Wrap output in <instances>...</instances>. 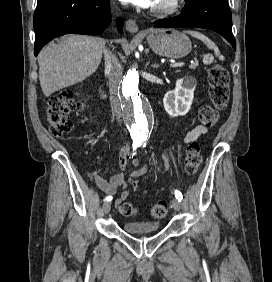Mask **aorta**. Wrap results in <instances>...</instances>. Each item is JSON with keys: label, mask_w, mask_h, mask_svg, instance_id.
<instances>
[{"label": "aorta", "mask_w": 272, "mask_h": 282, "mask_svg": "<svg viewBox=\"0 0 272 282\" xmlns=\"http://www.w3.org/2000/svg\"><path fill=\"white\" fill-rule=\"evenodd\" d=\"M121 90L124 114L131 137L134 140L147 139L151 131L153 112L142 93L139 74L135 68L124 76Z\"/></svg>", "instance_id": "762f6f07"}]
</instances>
